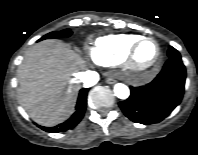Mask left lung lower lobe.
<instances>
[{
    "label": "left lung lower lobe",
    "mask_w": 198,
    "mask_h": 155,
    "mask_svg": "<svg viewBox=\"0 0 198 155\" xmlns=\"http://www.w3.org/2000/svg\"><path fill=\"white\" fill-rule=\"evenodd\" d=\"M186 70L181 59H169L149 84L131 87L130 97L119 103L132 121L153 124L166 118L182 100Z\"/></svg>",
    "instance_id": "left-lung-lower-lobe-1"
}]
</instances>
